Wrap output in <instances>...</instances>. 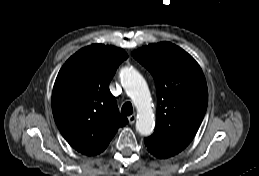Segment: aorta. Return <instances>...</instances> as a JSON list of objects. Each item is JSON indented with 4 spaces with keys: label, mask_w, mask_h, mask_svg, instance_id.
Segmentation results:
<instances>
[{
    "label": "aorta",
    "mask_w": 259,
    "mask_h": 176,
    "mask_svg": "<svg viewBox=\"0 0 259 176\" xmlns=\"http://www.w3.org/2000/svg\"><path fill=\"white\" fill-rule=\"evenodd\" d=\"M122 85L132 99L137 112V131L144 136L152 134L155 126L154 113L151 106V95L143 76L132 67H125L120 72Z\"/></svg>",
    "instance_id": "obj_1"
}]
</instances>
